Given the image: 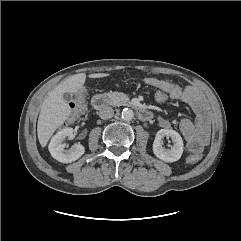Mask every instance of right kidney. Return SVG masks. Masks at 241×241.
<instances>
[{
	"instance_id": "1",
	"label": "right kidney",
	"mask_w": 241,
	"mask_h": 241,
	"mask_svg": "<svg viewBox=\"0 0 241 241\" xmlns=\"http://www.w3.org/2000/svg\"><path fill=\"white\" fill-rule=\"evenodd\" d=\"M74 129L73 128H64L56 133L49 143V152L51 156L59 162L62 163H71L79 159L85 152L83 145L78 144L71 150H66L65 143H63L66 137H73Z\"/></svg>"
}]
</instances>
